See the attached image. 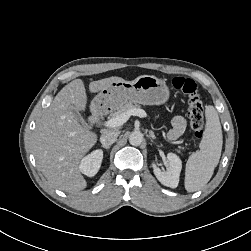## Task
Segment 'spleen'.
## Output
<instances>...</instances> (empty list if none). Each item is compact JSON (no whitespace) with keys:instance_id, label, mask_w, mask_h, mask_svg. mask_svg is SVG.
<instances>
[{"instance_id":"obj_1","label":"spleen","mask_w":251,"mask_h":251,"mask_svg":"<svg viewBox=\"0 0 251 251\" xmlns=\"http://www.w3.org/2000/svg\"><path fill=\"white\" fill-rule=\"evenodd\" d=\"M205 134L200 142V150L189 156L185 170V189L195 192L211 179L221 156L223 136L216 109L206 107Z\"/></svg>"}]
</instances>
